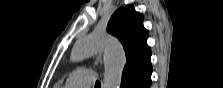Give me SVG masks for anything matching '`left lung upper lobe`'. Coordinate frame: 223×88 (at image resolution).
Here are the masks:
<instances>
[{"label":"left lung upper lobe","instance_id":"5c2ea615","mask_svg":"<svg viewBox=\"0 0 223 88\" xmlns=\"http://www.w3.org/2000/svg\"><path fill=\"white\" fill-rule=\"evenodd\" d=\"M107 31L116 36L124 47L126 65L123 74L133 69H141L150 62L148 31L143 26V16L133 6L119 8L109 20Z\"/></svg>","mask_w":223,"mask_h":88}]
</instances>
